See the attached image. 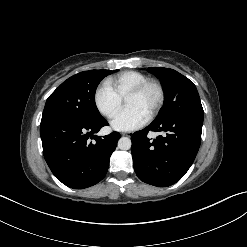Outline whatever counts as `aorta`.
Wrapping results in <instances>:
<instances>
[{"label":"aorta","mask_w":247,"mask_h":247,"mask_svg":"<svg viewBox=\"0 0 247 247\" xmlns=\"http://www.w3.org/2000/svg\"><path fill=\"white\" fill-rule=\"evenodd\" d=\"M131 145V140L128 137H121L118 141V148L121 150H129Z\"/></svg>","instance_id":"1"}]
</instances>
